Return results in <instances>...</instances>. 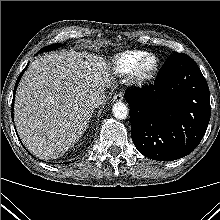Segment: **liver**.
Wrapping results in <instances>:
<instances>
[{
  "label": "liver",
  "mask_w": 220,
  "mask_h": 220,
  "mask_svg": "<svg viewBox=\"0 0 220 220\" xmlns=\"http://www.w3.org/2000/svg\"><path fill=\"white\" fill-rule=\"evenodd\" d=\"M109 64L97 55L61 51L33 61L16 92L15 125L36 157L56 159L84 134L94 111L90 96L106 98L114 85Z\"/></svg>",
  "instance_id": "6515ba94"
}]
</instances>
